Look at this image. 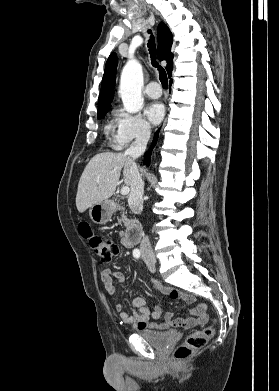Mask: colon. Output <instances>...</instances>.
<instances>
[{
  "mask_svg": "<svg viewBox=\"0 0 279 391\" xmlns=\"http://www.w3.org/2000/svg\"><path fill=\"white\" fill-rule=\"evenodd\" d=\"M79 231L88 240L92 251L98 256L100 261L104 263L110 262L117 255L119 251L118 245L113 240L94 233L88 223H81ZM213 331L212 326H206L190 334L175 350V358L178 361H185L190 358L206 345L212 337Z\"/></svg>",
  "mask_w": 279,
  "mask_h": 391,
  "instance_id": "1",
  "label": "colon"
}]
</instances>
